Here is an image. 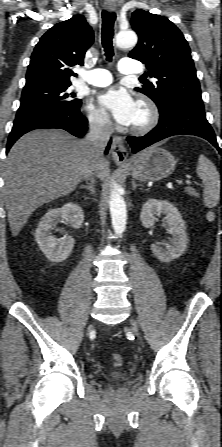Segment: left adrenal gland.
Segmentation results:
<instances>
[{
    "mask_svg": "<svg viewBox=\"0 0 222 447\" xmlns=\"http://www.w3.org/2000/svg\"><path fill=\"white\" fill-rule=\"evenodd\" d=\"M138 186H143V185L137 184L134 180H132V190H135Z\"/></svg>",
    "mask_w": 222,
    "mask_h": 447,
    "instance_id": "a2214340",
    "label": "left adrenal gland"
}]
</instances>
